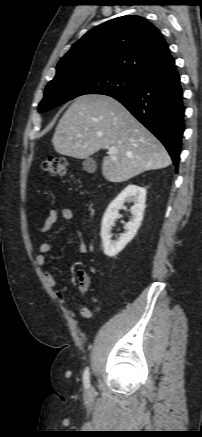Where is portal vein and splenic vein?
Returning a JSON list of instances; mask_svg holds the SVG:
<instances>
[{
	"instance_id": "portal-vein-and-splenic-vein-1",
	"label": "portal vein and splenic vein",
	"mask_w": 202,
	"mask_h": 437,
	"mask_svg": "<svg viewBox=\"0 0 202 437\" xmlns=\"http://www.w3.org/2000/svg\"><path fill=\"white\" fill-rule=\"evenodd\" d=\"M108 153H109V155L114 156L116 153L115 148H110Z\"/></svg>"
}]
</instances>
